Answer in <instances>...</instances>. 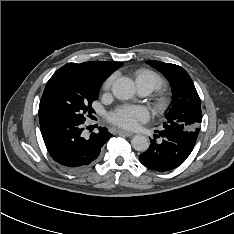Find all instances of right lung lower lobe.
Returning a JSON list of instances; mask_svg holds the SVG:
<instances>
[{
  "instance_id": "obj_1",
  "label": "right lung lower lobe",
  "mask_w": 234,
  "mask_h": 234,
  "mask_svg": "<svg viewBox=\"0 0 234 234\" xmlns=\"http://www.w3.org/2000/svg\"><path fill=\"white\" fill-rule=\"evenodd\" d=\"M85 120L54 118L40 122V129L51 157L63 167L80 170L92 164L102 146L112 136L105 127L89 137L83 135Z\"/></svg>"
}]
</instances>
